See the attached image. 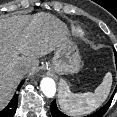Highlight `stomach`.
Returning <instances> with one entry per match:
<instances>
[{"instance_id":"stomach-1","label":"stomach","mask_w":117,"mask_h":117,"mask_svg":"<svg viewBox=\"0 0 117 117\" xmlns=\"http://www.w3.org/2000/svg\"><path fill=\"white\" fill-rule=\"evenodd\" d=\"M81 68L77 46L68 37L55 49L52 69L59 74H74Z\"/></svg>"}]
</instances>
